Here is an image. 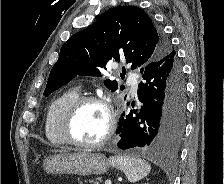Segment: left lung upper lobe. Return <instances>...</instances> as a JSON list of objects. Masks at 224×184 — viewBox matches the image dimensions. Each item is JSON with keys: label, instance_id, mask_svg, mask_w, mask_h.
I'll return each mask as SVG.
<instances>
[{"label": "left lung upper lobe", "instance_id": "5c2ea615", "mask_svg": "<svg viewBox=\"0 0 224 184\" xmlns=\"http://www.w3.org/2000/svg\"><path fill=\"white\" fill-rule=\"evenodd\" d=\"M172 50L141 8L115 7L63 44L44 95L48 96L77 75L100 77L98 67L104 68L112 58L116 61L124 58L132 69L141 71ZM105 86L113 92L118 88L115 80H105Z\"/></svg>", "mask_w": 224, "mask_h": 184}]
</instances>
